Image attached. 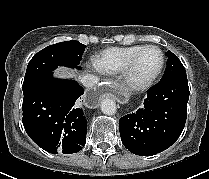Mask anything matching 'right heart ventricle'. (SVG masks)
Listing matches in <instances>:
<instances>
[{
  "mask_svg": "<svg viewBox=\"0 0 209 179\" xmlns=\"http://www.w3.org/2000/svg\"><path fill=\"white\" fill-rule=\"evenodd\" d=\"M143 47L144 45H130L104 49L96 55L94 65L102 74H120L132 56Z\"/></svg>",
  "mask_w": 209,
  "mask_h": 179,
  "instance_id": "1",
  "label": "right heart ventricle"
}]
</instances>
